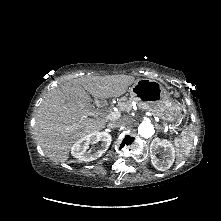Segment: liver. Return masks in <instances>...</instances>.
<instances>
[{
	"label": "liver",
	"mask_w": 221,
	"mask_h": 221,
	"mask_svg": "<svg viewBox=\"0 0 221 221\" xmlns=\"http://www.w3.org/2000/svg\"><path fill=\"white\" fill-rule=\"evenodd\" d=\"M136 81L128 75L86 76L50 90L39 106L34 127L45 154L55 162H65L78 139L105 128V119L88 117V93L95 100L117 98Z\"/></svg>",
	"instance_id": "obj_1"
}]
</instances>
